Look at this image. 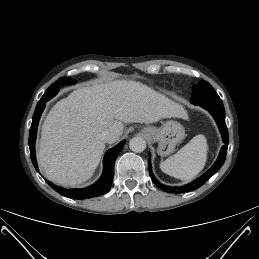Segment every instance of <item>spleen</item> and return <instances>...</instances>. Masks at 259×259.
Returning a JSON list of instances; mask_svg holds the SVG:
<instances>
[{
    "instance_id": "1",
    "label": "spleen",
    "mask_w": 259,
    "mask_h": 259,
    "mask_svg": "<svg viewBox=\"0 0 259 259\" xmlns=\"http://www.w3.org/2000/svg\"><path fill=\"white\" fill-rule=\"evenodd\" d=\"M207 140L202 134L193 137L176 154L160 163V169L177 179L190 180L198 175L207 161Z\"/></svg>"
}]
</instances>
